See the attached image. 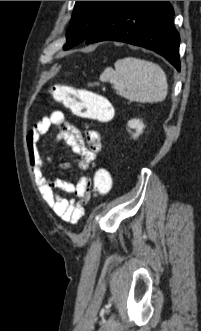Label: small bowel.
<instances>
[{
  "label": "small bowel",
  "mask_w": 201,
  "mask_h": 331,
  "mask_svg": "<svg viewBox=\"0 0 201 331\" xmlns=\"http://www.w3.org/2000/svg\"><path fill=\"white\" fill-rule=\"evenodd\" d=\"M51 126L58 128L56 140L64 142L76 159L79 170H87L102 150L101 136L96 130H87L85 136L70 125L61 111H53L49 116L39 119L27 135L29 161L38 189L56 216L64 222L77 223L84 214V206L89 200V189L92 185L88 176H80L76 181H67L46 174L45 163L38 148L41 135L48 132ZM68 163L62 164V167ZM57 190L73 193L77 200H68Z\"/></svg>",
  "instance_id": "small-bowel-1"
}]
</instances>
